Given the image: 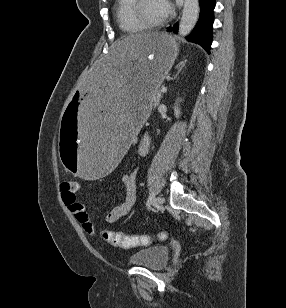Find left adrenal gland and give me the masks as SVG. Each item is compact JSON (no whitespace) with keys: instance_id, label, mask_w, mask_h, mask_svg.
Here are the masks:
<instances>
[{"instance_id":"left-adrenal-gland-1","label":"left adrenal gland","mask_w":286,"mask_h":308,"mask_svg":"<svg viewBox=\"0 0 286 308\" xmlns=\"http://www.w3.org/2000/svg\"><path fill=\"white\" fill-rule=\"evenodd\" d=\"M185 64H186V61H183V62H181L179 65H177V69H178V72H177V74L175 75V77H174V79L179 75V73L181 72V70H182V68L185 66Z\"/></svg>"}]
</instances>
